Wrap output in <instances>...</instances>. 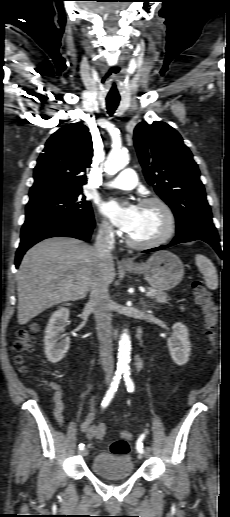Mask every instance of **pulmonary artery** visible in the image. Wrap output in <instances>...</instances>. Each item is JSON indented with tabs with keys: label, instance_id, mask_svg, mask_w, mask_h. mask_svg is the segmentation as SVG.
<instances>
[{
	"label": "pulmonary artery",
	"instance_id": "e3ab8cb5",
	"mask_svg": "<svg viewBox=\"0 0 230 517\" xmlns=\"http://www.w3.org/2000/svg\"><path fill=\"white\" fill-rule=\"evenodd\" d=\"M137 184V176L133 169H125L106 184L108 188L131 190Z\"/></svg>",
	"mask_w": 230,
	"mask_h": 517
}]
</instances>
